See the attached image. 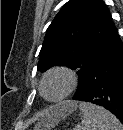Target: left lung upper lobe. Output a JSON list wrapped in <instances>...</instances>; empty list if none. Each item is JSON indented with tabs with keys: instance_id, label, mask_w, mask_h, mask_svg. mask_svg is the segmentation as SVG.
Wrapping results in <instances>:
<instances>
[{
	"instance_id": "obj_1",
	"label": "left lung upper lobe",
	"mask_w": 123,
	"mask_h": 130,
	"mask_svg": "<svg viewBox=\"0 0 123 130\" xmlns=\"http://www.w3.org/2000/svg\"><path fill=\"white\" fill-rule=\"evenodd\" d=\"M118 37L102 0H69L48 27L39 53L38 71L59 65L77 69V97L99 55Z\"/></svg>"
}]
</instances>
